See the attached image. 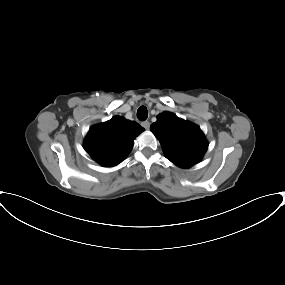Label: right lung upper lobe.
Masks as SVG:
<instances>
[{
    "label": "right lung upper lobe",
    "mask_w": 285,
    "mask_h": 285,
    "mask_svg": "<svg viewBox=\"0 0 285 285\" xmlns=\"http://www.w3.org/2000/svg\"><path fill=\"white\" fill-rule=\"evenodd\" d=\"M143 131L137 122L115 116L90 128L84 149L102 166L112 167L123 161L131 151L135 137Z\"/></svg>",
    "instance_id": "1"
}]
</instances>
